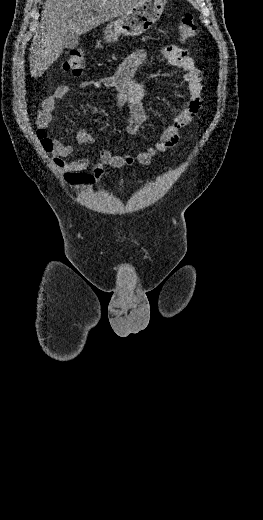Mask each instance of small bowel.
Segmentation results:
<instances>
[{
	"label": "small bowel",
	"instance_id": "c3829d8e",
	"mask_svg": "<svg viewBox=\"0 0 263 520\" xmlns=\"http://www.w3.org/2000/svg\"><path fill=\"white\" fill-rule=\"evenodd\" d=\"M161 53L172 67L184 72L183 78L188 89V96L183 107L174 117L172 123L163 130L153 145L135 155L122 156L113 154L106 149L101 150L98 154V162L89 171L90 163L88 159L78 158L66 161V158L73 152L72 146L54 139L51 148V162L66 183L90 187L103 176L106 166L122 168L134 163L149 165L157 153L166 152L178 143L180 130L190 124L201 109L202 72L195 66L186 49L175 45H167L162 48ZM146 57V50H136L124 59L112 76L98 80H84L79 83V88L81 89L90 87L111 89L115 92L119 102L128 104L130 118L127 131L131 134L137 133L146 119L145 110L141 102L145 94V87L136 78L137 69ZM72 91L73 88L71 86L61 85L56 88L52 95L44 99L42 111L38 116V124L41 128L48 127L52 122L56 101L65 98ZM78 140L84 146H92L94 143L92 136L84 130L79 133Z\"/></svg>",
	"mask_w": 263,
	"mask_h": 520
}]
</instances>
